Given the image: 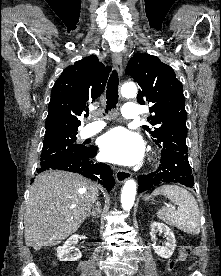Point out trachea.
Instances as JSON below:
<instances>
[{"label":"trachea","mask_w":221,"mask_h":276,"mask_svg":"<svg viewBox=\"0 0 221 276\" xmlns=\"http://www.w3.org/2000/svg\"><path fill=\"white\" fill-rule=\"evenodd\" d=\"M118 86H119V78L117 72L114 70L110 75L107 91H106V99L107 105L105 109V113H108L111 109L116 108L118 103Z\"/></svg>","instance_id":"3493384b"}]
</instances>
